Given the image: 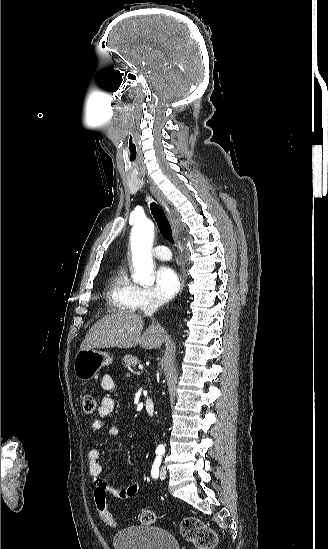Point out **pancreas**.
<instances>
[{"instance_id":"1","label":"pancreas","mask_w":328,"mask_h":549,"mask_svg":"<svg viewBox=\"0 0 328 549\" xmlns=\"http://www.w3.org/2000/svg\"><path fill=\"white\" fill-rule=\"evenodd\" d=\"M124 363L126 365H129V367H136V365H140L141 361L138 359V357H133V355H126V357H123Z\"/></svg>"}]
</instances>
